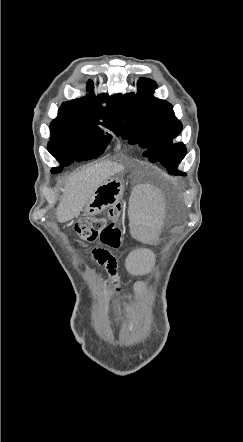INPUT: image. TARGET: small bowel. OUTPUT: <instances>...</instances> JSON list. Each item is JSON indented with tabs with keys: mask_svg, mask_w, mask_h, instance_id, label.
I'll list each match as a JSON object with an SVG mask.
<instances>
[{
	"mask_svg": "<svg viewBox=\"0 0 243 442\" xmlns=\"http://www.w3.org/2000/svg\"><path fill=\"white\" fill-rule=\"evenodd\" d=\"M99 253L97 254V256L99 255ZM97 262L100 265H103L107 269V272L109 273V275L113 279L114 283H117L118 263H117L116 259L113 257L111 260H109L107 262H104L101 260H97Z\"/></svg>",
	"mask_w": 243,
	"mask_h": 442,
	"instance_id": "c3829d8e",
	"label": "small bowel"
}]
</instances>
